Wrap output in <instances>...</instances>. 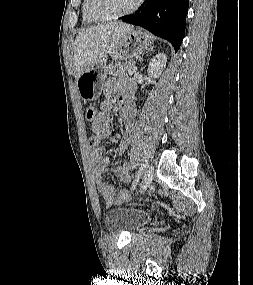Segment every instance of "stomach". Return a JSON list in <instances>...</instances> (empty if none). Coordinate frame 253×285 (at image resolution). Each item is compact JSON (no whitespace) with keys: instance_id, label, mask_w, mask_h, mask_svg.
Segmentation results:
<instances>
[{"instance_id":"1","label":"stomach","mask_w":253,"mask_h":285,"mask_svg":"<svg viewBox=\"0 0 253 285\" xmlns=\"http://www.w3.org/2000/svg\"><path fill=\"white\" fill-rule=\"evenodd\" d=\"M151 44L152 37L149 33L142 29H132L108 54L115 61H127L140 55ZM108 69L104 59L99 60L76 80L77 90L82 100L87 102L99 98Z\"/></svg>"}]
</instances>
